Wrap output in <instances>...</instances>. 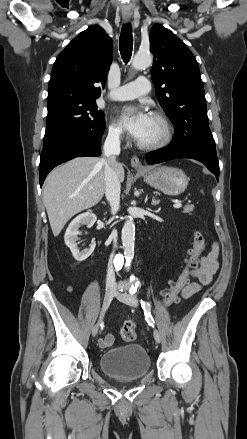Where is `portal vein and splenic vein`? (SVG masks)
I'll return each instance as SVG.
<instances>
[{
    "label": "portal vein and splenic vein",
    "mask_w": 247,
    "mask_h": 439,
    "mask_svg": "<svg viewBox=\"0 0 247 439\" xmlns=\"http://www.w3.org/2000/svg\"><path fill=\"white\" fill-rule=\"evenodd\" d=\"M181 206H182V202L181 201H177L173 205L174 208H180Z\"/></svg>",
    "instance_id": "obj_1"
}]
</instances>
